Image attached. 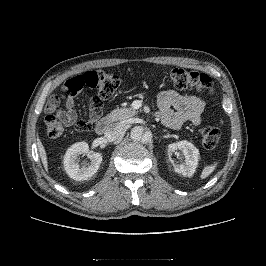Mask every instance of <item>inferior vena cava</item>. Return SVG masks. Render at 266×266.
Listing matches in <instances>:
<instances>
[{
	"label": "inferior vena cava",
	"instance_id": "inferior-vena-cava-1",
	"mask_svg": "<svg viewBox=\"0 0 266 266\" xmlns=\"http://www.w3.org/2000/svg\"><path fill=\"white\" fill-rule=\"evenodd\" d=\"M122 130V123H112L107 127L104 136L107 140L114 141L120 137V135L122 134Z\"/></svg>",
	"mask_w": 266,
	"mask_h": 266
}]
</instances>
